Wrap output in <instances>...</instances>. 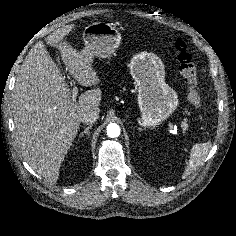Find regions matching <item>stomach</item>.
<instances>
[{
	"label": "stomach",
	"instance_id": "1",
	"mask_svg": "<svg viewBox=\"0 0 236 236\" xmlns=\"http://www.w3.org/2000/svg\"><path fill=\"white\" fill-rule=\"evenodd\" d=\"M83 40L85 47L80 53L92 62L94 57H110L119 47L121 35L111 24L97 22L85 27ZM129 70L138 91L139 123L156 129L179 103L176 91L165 82L164 64L154 53L140 52L131 59Z\"/></svg>",
	"mask_w": 236,
	"mask_h": 236
}]
</instances>
